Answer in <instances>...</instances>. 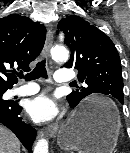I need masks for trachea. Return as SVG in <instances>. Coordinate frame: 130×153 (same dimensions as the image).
Wrapping results in <instances>:
<instances>
[{"instance_id":"1","label":"trachea","mask_w":130,"mask_h":153,"mask_svg":"<svg viewBox=\"0 0 130 153\" xmlns=\"http://www.w3.org/2000/svg\"><path fill=\"white\" fill-rule=\"evenodd\" d=\"M20 79L24 78L26 81L36 80L40 77L47 78L46 61L41 60L37 63L36 67L30 73L24 75L23 73L18 74Z\"/></svg>"}]
</instances>
